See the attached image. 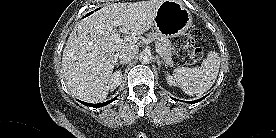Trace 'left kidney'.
<instances>
[{"mask_svg":"<svg viewBox=\"0 0 276 138\" xmlns=\"http://www.w3.org/2000/svg\"><path fill=\"white\" fill-rule=\"evenodd\" d=\"M166 80H167V84L172 87V86H176L177 82L176 80L171 76V75H167L166 76Z\"/></svg>","mask_w":276,"mask_h":138,"instance_id":"1","label":"left kidney"}]
</instances>
